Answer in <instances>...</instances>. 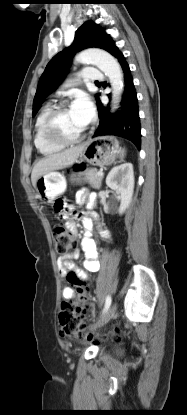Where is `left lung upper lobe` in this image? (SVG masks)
Listing matches in <instances>:
<instances>
[{
    "instance_id": "1",
    "label": "left lung upper lobe",
    "mask_w": 187,
    "mask_h": 415,
    "mask_svg": "<svg viewBox=\"0 0 187 415\" xmlns=\"http://www.w3.org/2000/svg\"><path fill=\"white\" fill-rule=\"evenodd\" d=\"M113 40L97 24L92 21L84 23L75 33L71 46L55 55L47 64L39 79L37 91L33 101V116L39 110L44 99L53 92L63 81L70 66L71 60L77 51L96 47L108 50ZM99 98V94L96 95Z\"/></svg>"
}]
</instances>
